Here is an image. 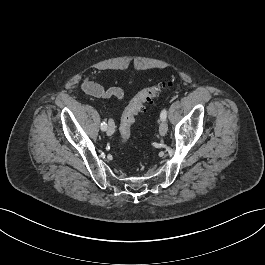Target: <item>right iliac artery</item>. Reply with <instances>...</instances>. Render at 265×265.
Listing matches in <instances>:
<instances>
[{
	"instance_id": "1",
	"label": "right iliac artery",
	"mask_w": 265,
	"mask_h": 265,
	"mask_svg": "<svg viewBox=\"0 0 265 265\" xmlns=\"http://www.w3.org/2000/svg\"><path fill=\"white\" fill-rule=\"evenodd\" d=\"M107 129V124L105 121L101 123V130L105 131Z\"/></svg>"
}]
</instances>
